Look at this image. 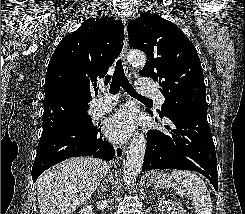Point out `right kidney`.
I'll return each instance as SVG.
<instances>
[{
	"label": "right kidney",
	"mask_w": 245,
	"mask_h": 214,
	"mask_svg": "<svg viewBox=\"0 0 245 214\" xmlns=\"http://www.w3.org/2000/svg\"><path fill=\"white\" fill-rule=\"evenodd\" d=\"M79 214H94L92 206L87 205V206L83 207V209H81Z\"/></svg>",
	"instance_id": "1"
}]
</instances>
